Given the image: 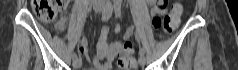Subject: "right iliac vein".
Wrapping results in <instances>:
<instances>
[{
  "label": "right iliac vein",
  "instance_id": "63e3f726",
  "mask_svg": "<svg viewBox=\"0 0 238 70\" xmlns=\"http://www.w3.org/2000/svg\"><path fill=\"white\" fill-rule=\"evenodd\" d=\"M93 8H94V10L96 12H101L104 9V7L102 5H100V4H95L93 6ZM81 65H82V61H81L80 58L73 59V67H74V69H79L81 67Z\"/></svg>",
  "mask_w": 238,
  "mask_h": 70
}]
</instances>
